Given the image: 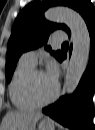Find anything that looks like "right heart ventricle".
Segmentation results:
<instances>
[{"label":"right heart ventricle","instance_id":"1","mask_svg":"<svg viewBox=\"0 0 95 130\" xmlns=\"http://www.w3.org/2000/svg\"><path fill=\"white\" fill-rule=\"evenodd\" d=\"M34 66L20 60L15 68L9 86V94L12 104L19 110L27 111L37 108L26 95V82Z\"/></svg>","mask_w":95,"mask_h":130}]
</instances>
